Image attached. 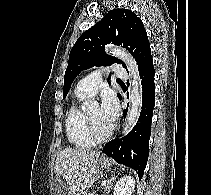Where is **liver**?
Returning <instances> with one entry per match:
<instances>
[{
  "label": "liver",
  "instance_id": "1",
  "mask_svg": "<svg viewBox=\"0 0 211 195\" xmlns=\"http://www.w3.org/2000/svg\"><path fill=\"white\" fill-rule=\"evenodd\" d=\"M99 157L100 152L76 148H65L58 154L54 172L66 181L68 195L84 193L93 184L90 176L96 171ZM54 194L63 195L64 191Z\"/></svg>",
  "mask_w": 211,
  "mask_h": 195
}]
</instances>
